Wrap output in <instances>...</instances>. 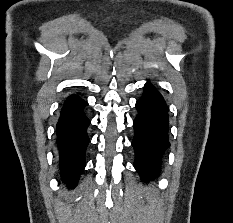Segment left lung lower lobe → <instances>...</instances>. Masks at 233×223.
I'll return each mask as SVG.
<instances>
[{
	"mask_svg": "<svg viewBox=\"0 0 233 223\" xmlns=\"http://www.w3.org/2000/svg\"><path fill=\"white\" fill-rule=\"evenodd\" d=\"M138 115L134 120L135 168L147 181L157 176L168 141V113L161 94L148 82L143 96L136 102Z\"/></svg>",
	"mask_w": 233,
	"mask_h": 223,
	"instance_id": "obj_1",
	"label": "left lung lower lobe"
}]
</instances>
